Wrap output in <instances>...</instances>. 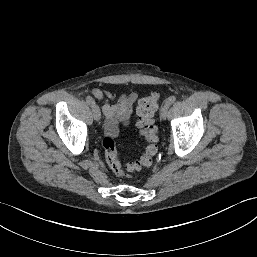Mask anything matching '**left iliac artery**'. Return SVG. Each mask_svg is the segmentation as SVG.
I'll return each instance as SVG.
<instances>
[{
	"instance_id": "1",
	"label": "left iliac artery",
	"mask_w": 257,
	"mask_h": 257,
	"mask_svg": "<svg viewBox=\"0 0 257 257\" xmlns=\"http://www.w3.org/2000/svg\"><path fill=\"white\" fill-rule=\"evenodd\" d=\"M176 101V96H170L169 98H167L166 103L171 105Z\"/></svg>"
}]
</instances>
